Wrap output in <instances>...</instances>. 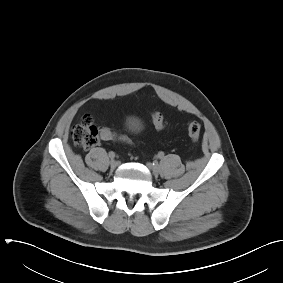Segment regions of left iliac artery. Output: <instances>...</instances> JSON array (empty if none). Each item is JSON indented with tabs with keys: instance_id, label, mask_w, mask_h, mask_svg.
I'll return each instance as SVG.
<instances>
[{
	"instance_id": "obj_1",
	"label": "left iliac artery",
	"mask_w": 283,
	"mask_h": 283,
	"mask_svg": "<svg viewBox=\"0 0 283 283\" xmlns=\"http://www.w3.org/2000/svg\"><path fill=\"white\" fill-rule=\"evenodd\" d=\"M163 157H164V153H163V152H159V153H158V158H159V159H162Z\"/></svg>"
}]
</instances>
